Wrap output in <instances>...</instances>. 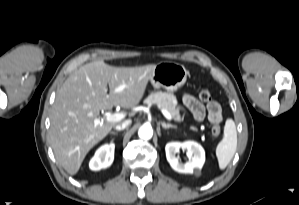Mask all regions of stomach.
Here are the masks:
<instances>
[{
  "label": "stomach",
  "instance_id": "0dacf381",
  "mask_svg": "<svg viewBox=\"0 0 299 205\" xmlns=\"http://www.w3.org/2000/svg\"><path fill=\"white\" fill-rule=\"evenodd\" d=\"M187 75V69L181 64L160 62L154 68L150 81L154 88L175 92L185 84Z\"/></svg>",
  "mask_w": 299,
  "mask_h": 205
}]
</instances>
